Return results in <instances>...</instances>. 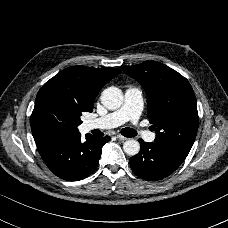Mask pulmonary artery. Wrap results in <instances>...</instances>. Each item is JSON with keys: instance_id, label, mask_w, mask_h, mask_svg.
<instances>
[{"instance_id": "obj_1", "label": "pulmonary artery", "mask_w": 228, "mask_h": 228, "mask_svg": "<svg viewBox=\"0 0 228 228\" xmlns=\"http://www.w3.org/2000/svg\"><path fill=\"white\" fill-rule=\"evenodd\" d=\"M142 100V94L137 88L126 90L122 108L110 112L105 116L87 120L83 126L86 131L112 129L122 125L127 120H136L142 112ZM155 137L156 134L154 132H148L144 136L147 142H153Z\"/></svg>"}]
</instances>
